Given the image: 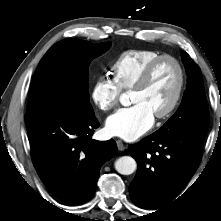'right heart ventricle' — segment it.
Here are the masks:
<instances>
[{
  "label": "right heart ventricle",
  "instance_id": "e07e8e85",
  "mask_svg": "<svg viewBox=\"0 0 221 221\" xmlns=\"http://www.w3.org/2000/svg\"><path fill=\"white\" fill-rule=\"evenodd\" d=\"M162 56L153 50H129L119 55L111 64L113 81L121 91L130 90L144 68Z\"/></svg>",
  "mask_w": 221,
  "mask_h": 221
}]
</instances>
